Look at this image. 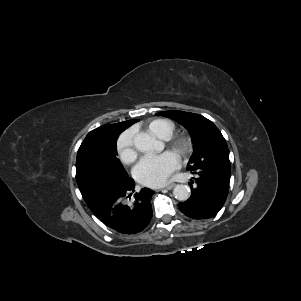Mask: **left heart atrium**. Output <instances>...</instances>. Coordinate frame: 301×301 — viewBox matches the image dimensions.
<instances>
[{
    "mask_svg": "<svg viewBox=\"0 0 301 301\" xmlns=\"http://www.w3.org/2000/svg\"><path fill=\"white\" fill-rule=\"evenodd\" d=\"M180 166L178 156L166 151L157 156H145L135 166L133 174L143 185L157 187L163 185Z\"/></svg>",
    "mask_w": 301,
    "mask_h": 301,
    "instance_id": "1",
    "label": "left heart atrium"
}]
</instances>
